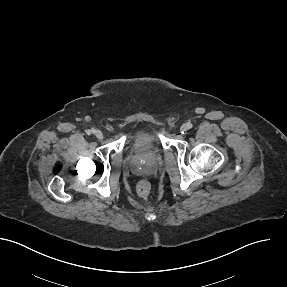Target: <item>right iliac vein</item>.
<instances>
[{
	"instance_id": "1",
	"label": "right iliac vein",
	"mask_w": 287,
	"mask_h": 287,
	"mask_svg": "<svg viewBox=\"0 0 287 287\" xmlns=\"http://www.w3.org/2000/svg\"><path fill=\"white\" fill-rule=\"evenodd\" d=\"M95 136H96V138L99 139V140H102L103 137H104V136H103V133H102L101 131H99V130L95 132Z\"/></svg>"
}]
</instances>
